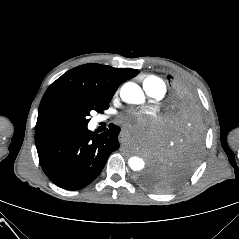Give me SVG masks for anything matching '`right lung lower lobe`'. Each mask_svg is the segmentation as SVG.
Instances as JSON below:
<instances>
[{
  "label": "right lung lower lobe",
  "mask_w": 239,
  "mask_h": 239,
  "mask_svg": "<svg viewBox=\"0 0 239 239\" xmlns=\"http://www.w3.org/2000/svg\"><path fill=\"white\" fill-rule=\"evenodd\" d=\"M119 132L118 126L110 124L100 135L87 125L35 133L40 165L57 186L81 189L100 174L109 155L119 148Z\"/></svg>",
  "instance_id": "98d812e1"
}]
</instances>
